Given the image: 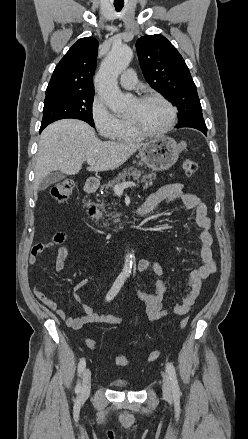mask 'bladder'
I'll return each mask as SVG.
<instances>
[{
	"mask_svg": "<svg viewBox=\"0 0 248 439\" xmlns=\"http://www.w3.org/2000/svg\"><path fill=\"white\" fill-rule=\"evenodd\" d=\"M112 385L118 388H128L129 384L125 381L114 380Z\"/></svg>",
	"mask_w": 248,
	"mask_h": 439,
	"instance_id": "1",
	"label": "bladder"
}]
</instances>
